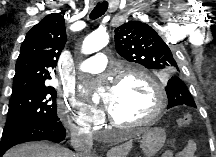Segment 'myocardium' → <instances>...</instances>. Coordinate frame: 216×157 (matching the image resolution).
Returning <instances> with one entry per match:
<instances>
[{
    "label": "myocardium",
    "mask_w": 216,
    "mask_h": 157,
    "mask_svg": "<svg viewBox=\"0 0 216 157\" xmlns=\"http://www.w3.org/2000/svg\"><path fill=\"white\" fill-rule=\"evenodd\" d=\"M129 77L141 79L149 85V87L151 88L155 96V106L153 110L146 118L134 122L120 121L116 119L110 112L108 114V118L112 124L118 126L139 127V126L149 125L155 122L159 118V116L161 115V113L166 107L167 101H166L164 91L161 85L151 75H149L146 71H144L141 68H131L126 70L122 74L118 75L115 79V86L120 85L125 79Z\"/></svg>",
    "instance_id": "obj_1"
}]
</instances>
